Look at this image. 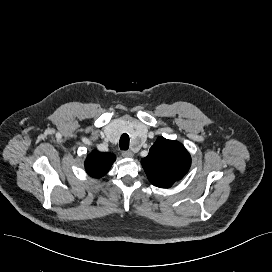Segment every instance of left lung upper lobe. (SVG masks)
<instances>
[{"label":"left lung upper lobe","mask_w":272,"mask_h":272,"mask_svg":"<svg viewBox=\"0 0 272 272\" xmlns=\"http://www.w3.org/2000/svg\"><path fill=\"white\" fill-rule=\"evenodd\" d=\"M141 163L153 185L169 188L188 172L191 157L178 141L158 137Z\"/></svg>","instance_id":"left-lung-upper-lobe-1"}]
</instances>
